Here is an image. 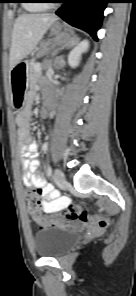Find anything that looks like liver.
Masks as SVG:
<instances>
[{
    "instance_id": "6515ba94",
    "label": "liver",
    "mask_w": 136,
    "mask_h": 296,
    "mask_svg": "<svg viewBox=\"0 0 136 296\" xmlns=\"http://www.w3.org/2000/svg\"><path fill=\"white\" fill-rule=\"evenodd\" d=\"M58 18L53 14H22L13 26L10 69L26 58Z\"/></svg>"
}]
</instances>
